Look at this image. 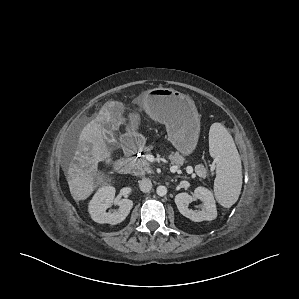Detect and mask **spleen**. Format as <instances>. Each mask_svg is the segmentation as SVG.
<instances>
[{
  "label": "spleen",
  "instance_id": "1",
  "mask_svg": "<svg viewBox=\"0 0 299 299\" xmlns=\"http://www.w3.org/2000/svg\"><path fill=\"white\" fill-rule=\"evenodd\" d=\"M209 151L216 162L215 197L223 207L229 208L238 200L243 176L234 140L221 123L210 127Z\"/></svg>",
  "mask_w": 299,
  "mask_h": 299
}]
</instances>
